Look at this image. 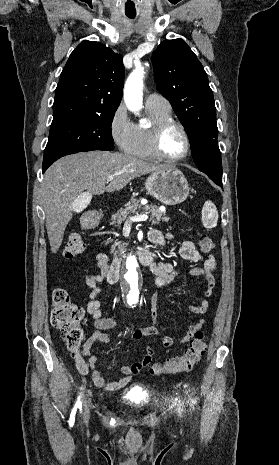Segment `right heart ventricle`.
Here are the masks:
<instances>
[{
    "label": "right heart ventricle",
    "mask_w": 279,
    "mask_h": 465,
    "mask_svg": "<svg viewBox=\"0 0 279 465\" xmlns=\"http://www.w3.org/2000/svg\"><path fill=\"white\" fill-rule=\"evenodd\" d=\"M150 119L149 126L134 125L133 139L126 151L130 156L140 159L156 158L151 150L150 138L153 126L163 120L171 119V110L146 107Z\"/></svg>",
    "instance_id": "obj_1"
}]
</instances>
